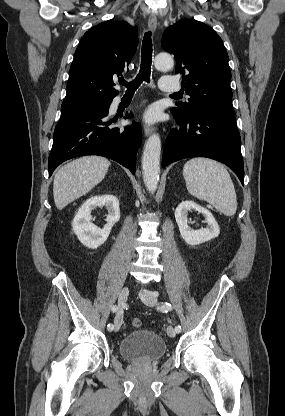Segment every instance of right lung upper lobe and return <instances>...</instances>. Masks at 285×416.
<instances>
[{
	"label": "right lung upper lobe",
	"mask_w": 285,
	"mask_h": 416,
	"mask_svg": "<svg viewBox=\"0 0 285 416\" xmlns=\"http://www.w3.org/2000/svg\"><path fill=\"white\" fill-rule=\"evenodd\" d=\"M137 44V28L125 21L92 27L75 51L63 103L112 101L118 94L113 78L125 71Z\"/></svg>",
	"instance_id": "cb5924a9"
}]
</instances>
